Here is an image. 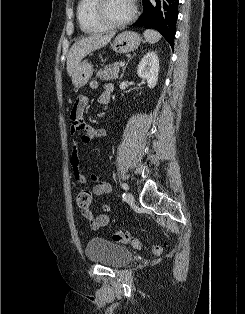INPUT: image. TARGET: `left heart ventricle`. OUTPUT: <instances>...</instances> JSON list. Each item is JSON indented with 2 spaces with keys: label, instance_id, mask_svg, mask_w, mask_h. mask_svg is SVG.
Masks as SVG:
<instances>
[{
  "label": "left heart ventricle",
  "instance_id": "left-heart-ventricle-1",
  "mask_svg": "<svg viewBox=\"0 0 245 314\" xmlns=\"http://www.w3.org/2000/svg\"><path fill=\"white\" fill-rule=\"evenodd\" d=\"M132 12L131 0H105L103 14L110 22H121Z\"/></svg>",
  "mask_w": 245,
  "mask_h": 314
}]
</instances>
